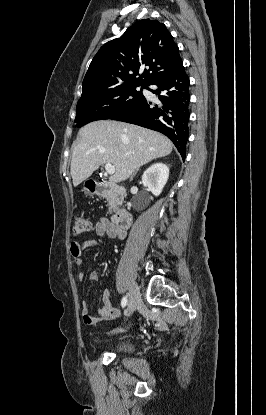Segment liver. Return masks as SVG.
Segmentation results:
<instances>
[{
	"mask_svg": "<svg viewBox=\"0 0 266 415\" xmlns=\"http://www.w3.org/2000/svg\"><path fill=\"white\" fill-rule=\"evenodd\" d=\"M172 147L164 135L137 125L111 120L91 122L79 130L73 149V185L78 186L105 163L115 167L111 182L125 181L140 166L169 155Z\"/></svg>",
	"mask_w": 266,
	"mask_h": 415,
	"instance_id": "1",
	"label": "liver"
}]
</instances>
